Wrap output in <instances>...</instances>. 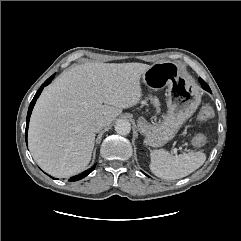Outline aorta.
I'll list each match as a JSON object with an SVG mask.
<instances>
[{
  "mask_svg": "<svg viewBox=\"0 0 241 241\" xmlns=\"http://www.w3.org/2000/svg\"><path fill=\"white\" fill-rule=\"evenodd\" d=\"M115 131L120 135H128L131 131V124L128 120L120 119L115 124Z\"/></svg>",
  "mask_w": 241,
  "mask_h": 241,
  "instance_id": "1",
  "label": "aorta"
}]
</instances>
